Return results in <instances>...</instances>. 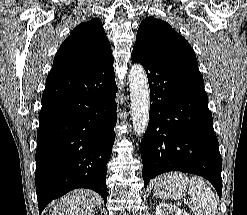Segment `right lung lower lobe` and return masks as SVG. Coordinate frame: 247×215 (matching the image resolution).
I'll list each match as a JSON object with an SVG mask.
<instances>
[{"instance_id": "1", "label": "right lung lower lobe", "mask_w": 247, "mask_h": 215, "mask_svg": "<svg viewBox=\"0 0 247 215\" xmlns=\"http://www.w3.org/2000/svg\"><path fill=\"white\" fill-rule=\"evenodd\" d=\"M113 62L110 58L86 72L53 67L47 76L36 150L40 214L76 188L94 190L106 203V164L117 121Z\"/></svg>"}]
</instances>
